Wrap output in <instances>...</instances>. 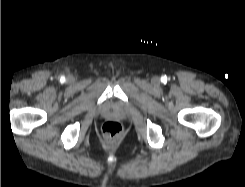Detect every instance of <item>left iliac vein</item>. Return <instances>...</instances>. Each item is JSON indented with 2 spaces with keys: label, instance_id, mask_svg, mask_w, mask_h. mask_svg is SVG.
<instances>
[{
  "label": "left iliac vein",
  "instance_id": "obj_1",
  "mask_svg": "<svg viewBox=\"0 0 245 187\" xmlns=\"http://www.w3.org/2000/svg\"><path fill=\"white\" fill-rule=\"evenodd\" d=\"M155 80L157 81V80H158V78L156 77V78H155Z\"/></svg>",
  "mask_w": 245,
  "mask_h": 187
}]
</instances>
